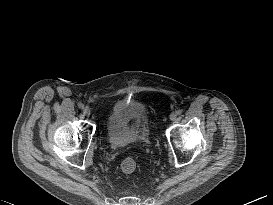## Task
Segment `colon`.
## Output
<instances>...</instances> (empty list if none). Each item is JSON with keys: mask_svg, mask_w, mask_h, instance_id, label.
<instances>
[{"mask_svg": "<svg viewBox=\"0 0 273 205\" xmlns=\"http://www.w3.org/2000/svg\"><path fill=\"white\" fill-rule=\"evenodd\" d=\"M135 168L136 162L132 158H126L121 164V169L126 174L132 173L135 170Z\"/></svg>", "mask_w": 273, "mask_h": 205, "instance_id": "obj_1", "label": "colon"}]
</instances>
